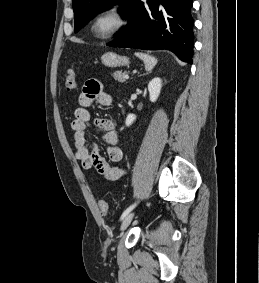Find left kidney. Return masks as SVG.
Listing matches in <instances>:
<instances>
[{"mask_svg":"<svg viewBox=\"0 0 259 283\" xmlns=\"http://www.w3.org/2000/svg\"><path fill=\"white\" fill-rule=\"evenodd\" d=\"M162 81L159 77L152 79L148 84L149 97L151 102H156L161 91ZM136 119V115L128 114L126 118V126H130Z\"/></svg>","mask_w":259,"mask_h":283,"instance_id":"5707ae66","label":"left kidney"}]
</instances>
